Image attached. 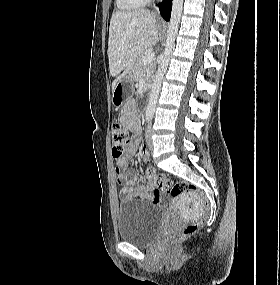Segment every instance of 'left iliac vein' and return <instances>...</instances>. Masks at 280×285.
Returning a JSON list of instances; mask_svg holds the SVG:
<instances>
[{
	"label": "left iliac vein",
	"mask_w": 280,
	"mask_h": 285,
	"mask_svg": "<svg viewBox=\"0 0 280 285\" xmlns=\"http://www.w3.org/2000/svg\"><path fill=\"white\" fill-rule=\"evenodd\" d=\"M146 141L149 149H152L153 147V141H152V129L151 126H149L146 130Z\"/></svg>",
	"instance_id": "4c4485c4"
}]
</instances>
